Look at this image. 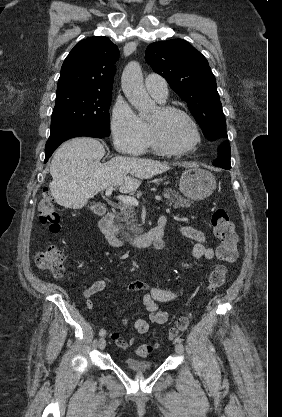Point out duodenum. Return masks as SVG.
Returning a JSON list of instances; mask_svg holds the SVG:
<instances>
[{
	"label": "duodenum",
	"instance_id": "obj_1",
	"mask_svg": "<svg viewBox=\"0 0 282 417\" xmlns=\"http://www.w3.org/2000/svg\"><path fill=\"white\" fill-rule=\"evenodd\" d=\"M114 218V211L105 213L100 219L99 229L110 245L114 248H118L123 243V240L113 227ZM162 239L163 229L161 226H156L148 232L131 237L128 240V243L135 248H148L154 246L157 249H162L164 246V243L161 241Z\"/></svg>",
	"mask_w": 282,
	"mask_h": 417
}]
</instances>
